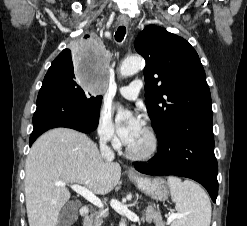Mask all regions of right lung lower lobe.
Returning <instances> with one entry per match:
<instances>
[{
    "label": "right lung lower lobe",
    "mask_w": 247,
    "mask_h": 226,
    "mask_svg": "<svg viewBox=\"0 0 247 226\" xmlns=\"http://www.w3.org/2000/svg\"><path fill=\"white\" fill-rule=\"evenodd\" d=\"M99 112L89 108L59 83L44 80L37 97L30 146L51 128L66 127L89 133L98 126Z\"/></svg>",
    "instance_id": "right-lung-lower-lobe-1"
}]
</instances>
